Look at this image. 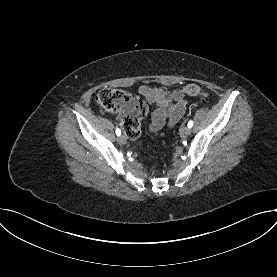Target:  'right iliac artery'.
Instances as JSON below:
<instances>
[{"instance_id":"right-iliac-artery-1","label":"right iliac artery","mask_w":277,"mask_h":277,"mask_svg":"<svg viewBox=\"0 0 277 277\" xmlns=\"http://www.w3.org/2000/svg\"><path fill=\"white\" fill-rule=\"evenodd\" d=\"M116 134L118 135V136H120L121 135V130L120 129H116Z\"/></svg>"}]
</instances>
